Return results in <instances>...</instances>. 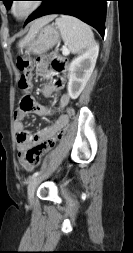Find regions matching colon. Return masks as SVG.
<instances>
[{"label": "colon", "instance_id": "obj_1", "mask_svg": "<svg viewBox=\"0 0 133 253\" xmlns=\"http://www.w3.org/2000/svg\"><path fill=\"white\" fill-rule=\"evenodd\" d=\"M49 62L52 70L59 74L64 73L67 69V60L62 55L52 52L49 55ZM17 67L22 72V75L18 81V87L22 94L30 93L32 84H31V71H32V61L27 57H19L17 60ZM24 97V96H23ZM65 115L67 116L68 124L69 122H76L75 109L73 107H68L66 109ZM68 124L63 126L53 137L45 140L37 147L28 151L26 158L27 161L33 166H38L41 162L42 157L49 152L60 140L65 132L67 131Z\"/></svg>", "mask_w": 133, "mask_h": 253}]
</instances>
